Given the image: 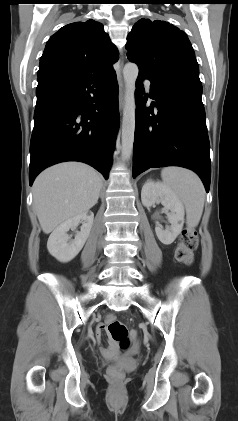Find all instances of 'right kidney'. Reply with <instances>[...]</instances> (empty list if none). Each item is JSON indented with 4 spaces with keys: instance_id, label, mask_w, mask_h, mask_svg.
<instances>
[{
    "instance_id": "right-kidney-1",
    "label": "right kidney",
    "mask_w": 238,
    "mask_h": 421,
    "mask_svg": "<svg viewBox=\"0 0 238 421\" xmlns=\"http://www.w3.org/2000/svg\"><path fill=\"white\" fill-rule=\"evenodd\" d=\"M94 214L93 212H84L60 224L50 235L47 242L49 253L62 263H67L74 259L83 248L89 237ZM82 224L80 232H77L75 239L69 241L67 232L75 229Z\"/></svg>"
}]
</instances>
